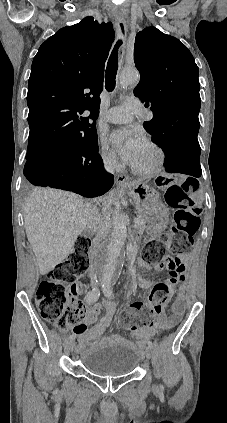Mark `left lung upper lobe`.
Returning <instances> with one entry per match:
<instances>
[{"label": "left lung upper lobe", "instance_id": "5c2ea615", "mask_svg": "<svg viewBox=\"0 0 227 423\" xmlns=\"http://www.w3.org/2000/svg\"><path fill=\"white\" fill-rule=\"evenodd\" d=\"M134 61L141 75L134 95L151 106L154 117L143 126L153 140L185 124H199V70L183 43L147 27L136 35Z\"/></svg>", "mask_w": 227, "mask_h": 423}]
</instances>
